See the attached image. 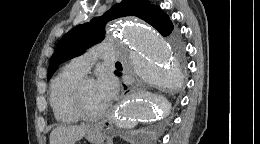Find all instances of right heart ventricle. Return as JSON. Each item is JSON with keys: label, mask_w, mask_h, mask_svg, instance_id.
I'll list each match as a JSON object with an SVG mask.
<instances>
[{"label": "right heart ventricle", "mask_w": 260, "mask_h": 144, "mask_svg": "<svg viewBox=\"0 0 260 144\" xmlns=\"http://www.w3.org/2000/svg\"><path fill=\"white\" fill-rule=\"evenodd\" d=\"M84 76L72 64L64 66L55 76L50 86V105L56 121L71 124L78 120L69 107V100L76 82Z\"/></svg>", "instance_id": "right-heart-ventricle-1"}]
</instances>
